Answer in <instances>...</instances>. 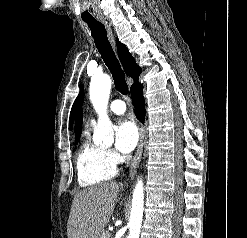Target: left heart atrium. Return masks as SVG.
Listing matches in <instances>:
<instances>
[{
  "instance_id": "1",
  "label": "left heart atrium",
  "mask_w": 247,
  "mask_h": 238,
  "mask_svg": "<svg viewBox=\"0 0 247 238\" xmlns=\"http://www.w3.org/2000/svg\"><path fill=\"white\" fill-rule=\"evenodd\" d=\"M139 139L138 129L132 120H121L115 129V147L123 153L131 152Z\"/></svg>"
}]
</instances>
